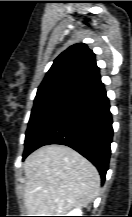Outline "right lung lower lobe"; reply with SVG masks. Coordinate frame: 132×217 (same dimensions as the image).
<instances>
[{
  "mask_svg": "<svg viewBox=\"0 0 132 217\" xmlns=\"http://www.w3.org/2000/svg\"><path fill=\"white\" fill-rule=\"evenodd\" d=\"M112 136L109 99L103 86L78 96L65 106L24 152L23 158L44 145H66L97 167L103 183L109 165Z\"/></svg>",
  "mask_w": 132,
  "mask_h": 217,
  "instance_id": "obj_1",
  "label": "right lung lower lobe"
}]
</instances>
